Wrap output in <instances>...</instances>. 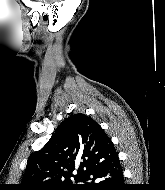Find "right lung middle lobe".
<instances>
[{
  "label": "right lung middle lobe",
  "instance_id": "right-lung-middle-lobe-1",
  "mask_svg": "<svg viewBox=\"0 0 165 190\" xmlns=\"http://www.w3.org/2000/svg\"><path fill=\"white\" fill-rule=\"evenodd\" d=\"M78 189L79 188L77 187V185H68L64 187L55 188L53 190H78Z\"/></svg>",
  "mask_w": 165,
  "mask_h": 190
}]
</instances>
